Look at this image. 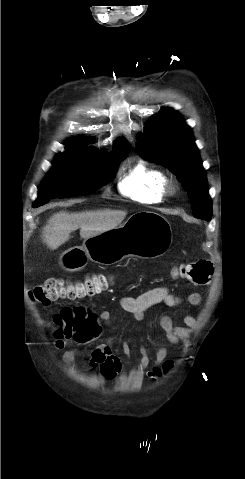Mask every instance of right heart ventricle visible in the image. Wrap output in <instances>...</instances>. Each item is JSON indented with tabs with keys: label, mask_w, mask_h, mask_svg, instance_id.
<instances>
[{
	"label": "right heart ventricle",
	"mask_w": 245,
	"mask_h": 479,
	"mask_svg": "<svg viewBox=\"0 0 245 479\" xmlns=\"http://www.w3.org/2000/svg\"><path fill=\"white\" fill-rule=\"evenodd\" d=\"M168 183L162 169L138 161L121 178L119 190L134 201L154 204L163 200Z\"/></svg>",
	"instance_id": "e07e8e85"
}]
</instances>
